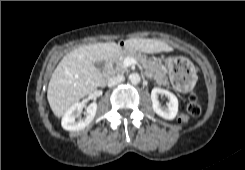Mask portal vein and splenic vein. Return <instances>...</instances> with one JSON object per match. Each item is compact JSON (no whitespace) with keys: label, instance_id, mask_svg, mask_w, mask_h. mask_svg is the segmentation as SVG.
Masks as SVG:
<instances>
[{"label":"portal vein and splenic vein","instance_id":"1","mask_svg":"<svg viewBox=\"0 0 245 170\" xmlns=\"http://www.w3.org/2000/svg\"><path fill=\"white\" fill-rule=\"evenodd\" d=\"M133 64H137V61L135 59L131 58V57H126L124 59V61H123V65L125 67H129V66H131Z\"/></svg>","mask_w":245,"mask_h":170}]
</instances>
